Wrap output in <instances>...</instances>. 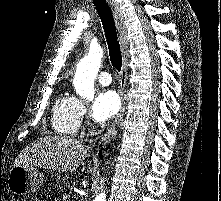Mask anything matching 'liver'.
<instances>
[{
    "mask_svg": "<svg viewBox=\"0 0 221 201\" xmlns=\"http://www.w3.org/2000/svg\"><path fill=\"white\" fill-rule=\"evenodd\" d=\"M89 155V147L76 139L49 135L38 138L16 158L14 166L28 165L73 171Z\"/></svg>",
    "mask_w": 221,
    "mask_h": 201,
    "instance_id": "liver-1",
    "label": "liver"
}]
</instances>
